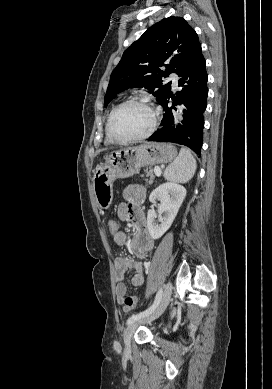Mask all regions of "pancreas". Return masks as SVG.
<instances>
[{"label":"pancreas","instance_id":"cf45deb5","mask_svg":"<svg viewBox=\"0 0 272 389\" xmlns=\"http://www.w3.org/2000/svg\"><path fill=\"white\" fill-rule=\"evenodd\" d=\"M145 172L147 174V177H149L148 183H152V181L155 177L153 174V170L151 168H149V169H146Z\"/></svg>","mask_w":272,"mask_h":389}]
</instances>
